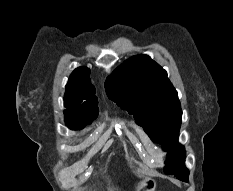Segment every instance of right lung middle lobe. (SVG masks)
Returning <instances> with one entry per match:
<instances>
[{"mask_svg":"<svg viewBox=\"0 0 233 191\" xmlns=\"http://www.w3.org/2000/svg\"><path fill=\"white\" fill-rule=\"evenodd\" d=\"M96 117L97 115L87 117H71L65 115V120L71 129H82L86 126L87 123H90Z\"/></svg>","mask_w":233,"mask_h":191,"instance_id":"right-lung-middle-lobe-1","label":"right lung middle lobe"}]
</instances>
